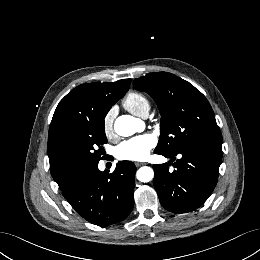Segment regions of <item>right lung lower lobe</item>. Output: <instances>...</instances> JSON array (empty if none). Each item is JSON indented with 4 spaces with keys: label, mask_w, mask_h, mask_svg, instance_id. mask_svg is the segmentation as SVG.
Instances as JSON below:
<instances>
[{
    "label": "right lung lower lobe",
    "mask_w": 260,
    "mask_h": 260,
    "mask_svg": "<svg viewBox=\"0 0 260 260\" xmlns=\"http://www.w3.org/2000/svg\"><path fill=\"white\" fill-rule=\"evenodd\" d=\"M135 172L131 161L118 162L113 173L101 172L97 164L76 172L61 187L62 194L92 224H115L133 209Z\"/></svg>",
    "instance_id": "98d812e1"
}]
</instances>
